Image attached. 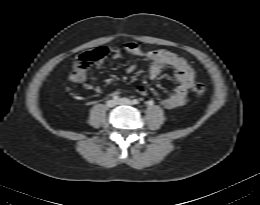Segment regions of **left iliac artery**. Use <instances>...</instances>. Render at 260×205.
I'll list each match as a JSON object with an SVG mask.
<instances>
[{"instance_id": "44dca946", "label": "left iliac artery", "mask_w": 260, "mask_h": 205, "mask_svg": "<svg viewBox=\"0 0 260 205\" xmlns=\"http://www.w3.org/2000/svg\"><path fill=\"white\" fill-rule=\"evenodd\" d=\"M132 103H133L134 105H137V104H139V101H138L137 99H134V100L132 101Z\"/></svg>"}]
</instances>
